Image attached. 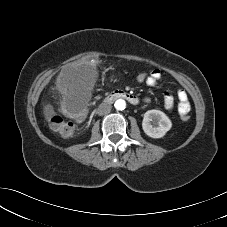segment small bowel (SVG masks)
I'll list each match as a JSON object with an SVG mask.
<instances>
[{
	"mask_svg": "<svg viewBox=\"0 0 227 227\" xmlns=\"http://www.w3.org/2000/svg\"><path fill=\"white\" fill-rule=\"evenodd\" d=\"M161 71L159 69H154L149 74V79L147 81L148 86H155L161 79ZM178 99V112L188 113L191 109L187 93L184 90H179L177 92ZM174 107V97L171 93H164V108L168 111L172 110Z\"/></svg>",
	"mask_w": 227,
	"mask_h": 227,
	"instance_id": "obj_1",
	"label": "small bowel"
}]
</instances>
